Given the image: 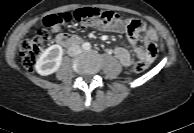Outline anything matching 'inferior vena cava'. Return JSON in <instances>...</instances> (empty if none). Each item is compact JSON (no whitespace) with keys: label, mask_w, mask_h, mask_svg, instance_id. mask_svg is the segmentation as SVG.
Masks as SVG:
<instances>
[{"label":"inferior vena cava","mask_w":194,"mask_h":133,"mask_svg":"<svg viewBox=\"0 0 194 133\" xmlns=\"http://www.w3.org/2000/svg\"><path fill=\"white\" fill-rule=\"evenodd\" d=\"M68 55L69 56H77L78 54L81 53V47L79 45H72L68 48V51H67Z\"/></svg>","instance_id":"inferior-vena-cava-1"}]
</instances>
